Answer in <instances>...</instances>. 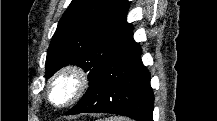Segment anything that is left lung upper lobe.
Masks as SVG:
<instances>
[{"mask_svg": "<svg viewBox=\"0 0 217 121\" xmlns=\"http://www.w3.org/2000/svg\"><path fill=\"white\" fill-rule=\"evenodd\" d=\"M127 0H72L47 50L48 78L68 64L81 66L89 83L130 32Z\"/></svg>", "mask_w": 217, "mask_h": 121, "instance_id": "1", "label": "left lung upper lobe"}]
</instances>
